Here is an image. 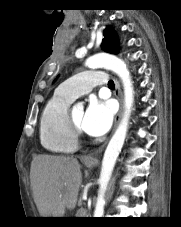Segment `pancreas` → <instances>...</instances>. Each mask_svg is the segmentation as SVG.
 I'll list each match as a JSON object with an SVG mask.
<instances>
[{
	"instance_id": "1",
	"label": "pancreas",
	"mask_w": 181,
	"mask_h": 227,
	"mask_svg": "<svg viewBox=\"0 0 181 227\" xmlns=\"http://www.w3.org/2000/svg\"><path fill=\"white\" fill-rule=\"evenodd\" d=\"M86 214V209L85 208H80L77 212V216L76 217H85Z\"/></svg>"
}]
</instances>
